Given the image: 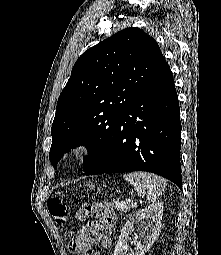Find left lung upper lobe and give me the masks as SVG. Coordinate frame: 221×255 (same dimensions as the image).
Masks as SVG:
<instances>
[{
	"instance_id": "5c2ea615",
	"label": "left lung upper lobe",
	"mask_w": 221,
	"mask_h": 255,
	"mask_svg": "<svg viewBox=\"0 0 221 255\" xmlns=\"http://www.w3.org/2000/svg\"><path fill=\"white\" fill-rule=\"evenodd\" d=\"M165 59L154 38L126 28L85 51L61 92L51 128L50 161L85 145L83 171L105 148L116 121L156 78Z\"/></svg>"
}]
</instances>
